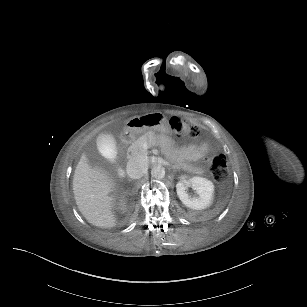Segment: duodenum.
I'll return each instance as SVG.
<instances>
[{"label":"duodenum","mask_w":307,"mask_h":307,"mask_svg":"<svg viewBox=\"0 0 307 307\" xmlns=\"http://www.w3.org/2000/svg\"><path fill=\"white\" fill-rule=\"evenodd\" d=\"M121 132H122L123 136H122V143L119 146L120 150H119L118 153H119L120 156L123 157L127 153L126 152V150L128 148L127 144L130 142V135L132 134L133 129H132L131 126L125 125V126L122 127Z\"/></svg>","instance_id":"duodenum-1"}]
</instances>
